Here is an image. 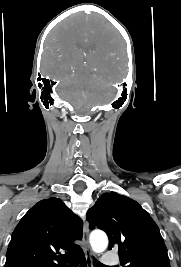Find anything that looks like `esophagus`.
Here are the masks:
<instances>
[{
  "instance_id": "esophagus-1",
  "label": "esophagus",
  "mask_w": 181,
  "mask_h": 267,
  "mask_svg": "<svg viewBox=\"0 0 181 267\" xmlns=\"http://www.w3.org/2000/svg\"><path fill=\"white\" fill-rule=\"evenodd\" d=\"M88 236H89V225H88V222L85 221L84 227H83V250L85 253V257H86L87 266L92 267V262H93L92 251L89 245Z\"/></svg>"
}]
</instances>
